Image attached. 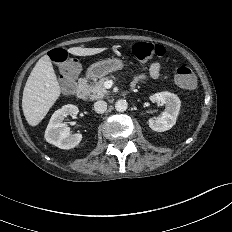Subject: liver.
I'll return each instance as SVG.
<instances>
[{
  "instance_id": "obj_1",
  "label": "liver",
  "mask_w": 232,
  "mask_h": 232,
  "mask_svg": "<svg viewBox=\"0 0 232 232\" xmlns=\"http://www.w3.org/2000/svg\"><path fill=\"white\" fill-rule=\"evenodd\" d=\"M107 48L72 47L67 51L75 56H90ZM61 94L50 58L41 57L31 71L23 91L22 109L28 124L38 125Z\"/></svg>"
}]
</instances>
